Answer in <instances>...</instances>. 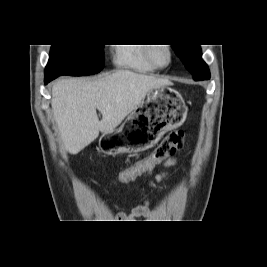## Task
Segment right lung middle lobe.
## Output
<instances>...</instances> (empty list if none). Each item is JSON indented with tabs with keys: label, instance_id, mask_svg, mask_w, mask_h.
<instances>
[{
	"label": "right lung middle lobe",
	"instance_id": "obj_1",
	"mask_svg": "<svg viewBox=\"0 0 267 267\" xmlns=\"http://www.w3.org/2000/svg\"><path fill=\"white\" fill-rule=\"evenodd\" d=\"M103 45H52L47 75H92L104 66Z\"/></svg>",
	"mask_w": 267,
	"mask_h": 267
}]
</instances>
